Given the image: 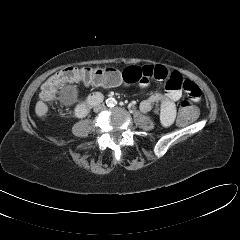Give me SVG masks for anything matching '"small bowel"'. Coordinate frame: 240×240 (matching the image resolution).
Segmentation results:
<instances>
[{
    "mask_svg": "<svg viewBox=\"0 0 240 240\" xmlns=\"http://www.w3.org/2000/svg\"><path fill=\"white\" fill-rule=\"evenodd\" d=\"M165 80V91L154 93L140 104V110L147 114L154 111L163 126L173 123L176 116V103L183 93L193 102L200 100L201 91L191 80L179 72H170L163 65L129 66L123 70L116 82L103 83L95 86L112 87L120 84L138 83L141 88L148 86L150 79Z\"/></svg>",
    "mask_w": 240,
    "mask_h": 240,
    "instance_id": "1",
    "label": "small bowel"
}]
</instances>
